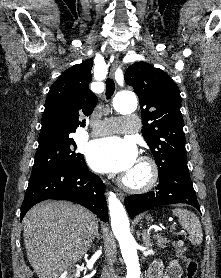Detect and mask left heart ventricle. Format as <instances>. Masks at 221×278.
<instances>
[{
	"label": "left heart ventricle",
	"mask_w": 221,
	"mask_h": 278,
	"mask_svg": "<svg viewBox=\"0 0 221 278\" xmlns=\"http://www.w3.org/2000/svg\"><path fill=\"white\" fill-rule=\"evenodd\" d=\"M124 176L132 183H141L147 178V169L137 161Z\"/></svg>",
	"instance_id": "obj_1"
}]
</instances>
